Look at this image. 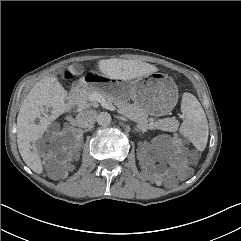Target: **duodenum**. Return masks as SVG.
Masks as SVG:
<instances>
[{"instance_id": "duodenum-1", "label": "duodenum", "mask_w": 241, "mask_h": 241, "mask_svg": "<svg viewBox=\"0 0 241 241\" xmlns=\"http://www.w3.org/2000/svg\"><path fill=\"white\" fill-rule=\"evenodd\" d=\"M82 87L81 82H76L72 86V90L70 92V105L74 103V101L77 99L79 91Z\"/></svg>"}]
</instances>
